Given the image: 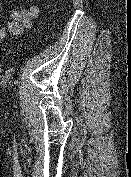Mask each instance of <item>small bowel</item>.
Masks as SVG:
<instances>
[{
	"label": "small bowel",
	"mask_w": 131,
	"mask_h": 177,
	"mask_svg": "<svg viewBox=\"0 0 131 177\" xmlns=\"http://www.w3.org/2000/svg\"><path fill=\"white\" fill-rule=\"evenodd\" d=\"M29 1L31 5L28 8L13 10L10 21L5 27H0V41L18 36L32 25L33 20L39 15V7L34 3V0Z\"/></svg>",
	"instance_id": "obj_1"
}]
</instances>
